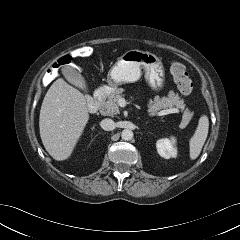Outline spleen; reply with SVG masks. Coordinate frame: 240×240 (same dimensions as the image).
Returning a JSON list of instances; mask_svg holds the SVG:
<instances>
[{"label": "spleen", "mask_w": 240, "mask_h": 240, "mask_svg": "<svg viewBox=\"0 0 240 240\" xmlns=\"http://www.w3.org/2000/svg\"><path fill=\"white\" fill-rule=\"evenodd\" d=\"M208 129L209 119L206 115H202L199 119L195 133L189 142L191 160H195L200 155L202 147L208 135Z\"/></svg>", "instance_id": "3e777b00"}]
</instances>
